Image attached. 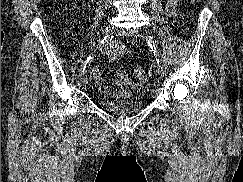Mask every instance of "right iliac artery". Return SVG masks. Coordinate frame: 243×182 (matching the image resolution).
<instances>
[{"instance_id": "82829eb1", "label": "right iliac artery", "mask_w": 243, "mask_h": 182, "mask_svg": "<svg viewBox=\"0 0 243 182\" xmlns=\"http://www.w3.org/2000/svg\"><path fill=\"white\" fill-rule=\"evenodd\" d=\"M113 35H106L101 42L98 44L97 49H101L102 47L106 46L107 44H109L112 40H113ZM95 52V51H94ZM93 56V52L87 57V59L81 64L80 66V73L82 74L86 68V64L89 62V60L91 59V57Z\"/></svg>"}]
</instances>
